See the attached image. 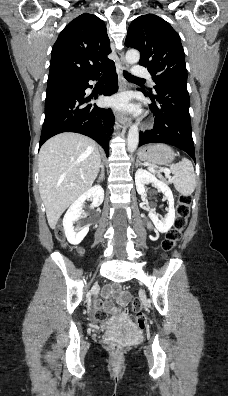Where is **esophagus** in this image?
I'll list each match as a JSON object with an SVG mask.
<instances>
[{
	"instance_id": "esophagus-1",
	"label": "esophagus",
	"mask_w": 228,
	"mask_h": 396,
	"mask_svg": "<svg viewBox=\"0 0 228 396\" xmlns=\"http://www.w3.org/2000/svg\"><path fill=\"white\" fill-rule=\"evenodd\" d=\"M120 59H121V67H120V72H122L123 70H126L129 68V65L126 63L125 59H124V54L123 52L120 54ZM121 88L124 89L126 88V83L122 78V82H121ZM117 122L123 126H125V128H128L130 125V118L127 117L126 115H124L123 113H120L117 116Z\"/></svg>"
}]
</instances>
